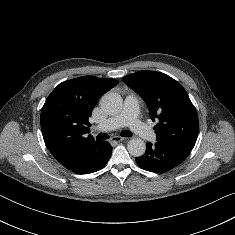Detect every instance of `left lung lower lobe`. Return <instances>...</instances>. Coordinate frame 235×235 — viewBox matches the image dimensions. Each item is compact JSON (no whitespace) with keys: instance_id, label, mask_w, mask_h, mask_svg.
I'll use <instances>...</instances> for the list:
<instances>
[{"instance_id":"1","label":"left lung lower lobe","mask_w":235,"mask_h":235,"mask_svg":"<svg viewBox=\"0 0 235 235\" xmlns=\"http://www.w3.org/2000/svg\"><path fill=\"white\" fill-rule=\"evenodd\" d=\"M190 152L191 149L174 144L157 141L153 145L147 142L145 154L137 157L136 163L150 172H166L182 163Z\"/></svg>"}]
</instances>
